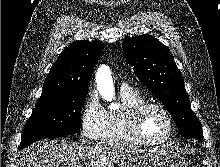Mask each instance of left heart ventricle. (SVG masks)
<instances>
[{
  "instance_id": "b2bd125f",
  "label": "left heart ventricle",
  "mask_w": 220,
  "mask_h": 167,
  "mask_svg": "<svg viewBox=\"0 0 220 167\" xmlns=\"http://www.w3.org/2000/svg\"><path fill=\"white\" fill-rule=\"evenodd\" d=\"M140 131L146 139H161L169 132L168 121L158 109L149 108L142 116Z\"/></svg>"
}]
</instances>
